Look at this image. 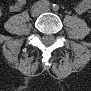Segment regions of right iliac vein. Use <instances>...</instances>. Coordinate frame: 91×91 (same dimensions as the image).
Segmentation results:
<instances>
[{
  "instance_id": "right-iliac-vein-1",
  "label": "right iliac vein",
  "mask_w": 91,
  "mask_h": 91,
  "mask_svg": "<svg viewBox=\"0 0 91 91\" xmlns=\"http://www.w3.org/2000/svg\"><path fill=\"white\" fill-rule=\"evenodd\" d=\"M40 13H41V9L40 8H35V9H32V11H31V15L33 17H38L40 15Z\"/></svg>"
}]
</instances>
